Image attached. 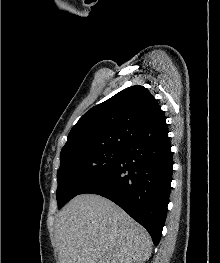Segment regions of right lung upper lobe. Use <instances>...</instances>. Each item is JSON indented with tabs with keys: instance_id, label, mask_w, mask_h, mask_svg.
I'll return each mask as SVG.
<instances>
[{
	"instance_id": "right-lung-upper-lobe-1",
	"label": "right lung upper lobe",
	"mask_w": 220,
	"mask_h": 263,
	"mask_svg": "<svg viewBox=\"0 0 220 263\" xmlns=\"http://www.w3.org/2000/svg\"><path fill=\"white\" fill-rule=\"evenodd\" d=\"M168 132L157 100L143 86L126 88L87 111L71 129L61 154L94 148H126Z\"/></svg>"
}]
</instances>
